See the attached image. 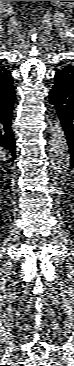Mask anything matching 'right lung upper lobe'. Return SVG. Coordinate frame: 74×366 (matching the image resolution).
<instances>
[{
  "mask_svg": "<svg viewBox=\"0 0 74 366\" xmlns=\"http://www.w3.org/2000/svg\"><path fill=\"white\" fill-rule=\"evenodd\" d=\"M9 73H10V71L7 70L5 68V66L1 65V62H0V80L7 78Z\"/></svg>",
  "mask_w": 74,
  "mask_h": 366,
  "instance_id": "right-lung-upper-lobe-1",
  "label": "right lung upper lobe"
}]
</instances>
